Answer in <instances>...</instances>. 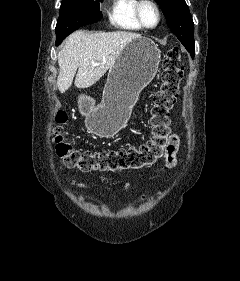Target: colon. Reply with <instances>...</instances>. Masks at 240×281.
Segmentation results:
<instances>
[{
  "label": "colon",
  "mask_w": 240,
  "mask_h": 281,
  "mask_svg": "<svg viewBox=\"0 0 240 281\" xmlns=\"http://www.w3.org/2000/svg\"><path fill=\"white\" fill-rule=\"evenodd\" d=\"M162 68L161 84L152 97L149 118L151 136L146 143L138 147L100 151L77 149L63 131V125L67 121L66 112H57L53 137L56 152L66 166L84 172L140 171L154 166L166 156L170 137L169 114L178 97L184 69L181 52L177 46L167 50Z\"/></svg>",
  "instance_id": "colon-1"
}]
</instances>
